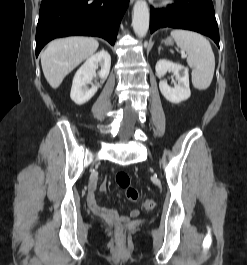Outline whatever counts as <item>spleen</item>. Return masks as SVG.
I'll use <instances>...</instances> for the list:
<instances>
[{"mask_svg": "<svg viewBox=\"0 0 247 265\" xmlns=\"http://www.w3.org/2000/svg\"><path fill=\"white\" fill-rule=\"evenodd\" d=\"M171 36L188 55L193 86L198 90L208 89L215 70V57L209 41L199 33L180 29L171 31Z\"/></svg>", "mask_w": 247, "mask_h": 265, "instance_id": "obj_1", "label": "spleen"}]
</instances>
